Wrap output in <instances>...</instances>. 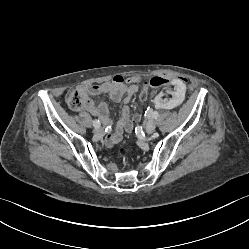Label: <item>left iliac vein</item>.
<instances>
[{"instance_id": "left-iliac-vein-1", "label": "left iliac vein", "mask_w": 249, "mask_h": 249, "mask_svg": "<svg viewBox=\"0 0 249 249\" xmlns=\"http://www.w3.org/2000/svg\"><path fill=\"white\" fill-rule=\"evenodd\" d=\"M155 128H156V122L154 120H149L147 122L145 130L148 134H151L155 131Z\"/></svg>"}]
</instances>
